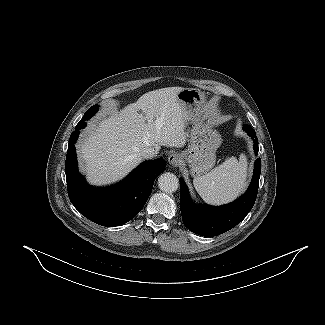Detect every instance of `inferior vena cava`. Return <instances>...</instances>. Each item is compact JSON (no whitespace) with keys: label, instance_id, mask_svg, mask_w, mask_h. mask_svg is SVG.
<instances>
[{"label":"inferior vena cava","instance_id":"1","mask_svg":"<svg viewBox=\"0 0 325 325\" xmlns=\"http://www.w3.org/2000/svg\"><path fill=\"white\" fill-rule=\"evenodd\" d=\"M140 155L144 159H152L156 155V152L153 148H145L140 152Z\"/></svg>","mask_w":325,"mask_h":325}]
</instances>
